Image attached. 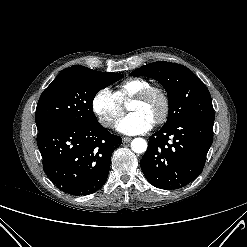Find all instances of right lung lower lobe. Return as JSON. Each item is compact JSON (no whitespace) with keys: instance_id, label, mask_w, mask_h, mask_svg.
<instances>
[{"instance_id":"right-lung-lower-lobe-1","label":"right lung lower lobe","mask_w":247,"mask_h":247,"mask_svg":"<svg viewBox=\"0 0 247 247\" xmlns=\"http://www.w3.org/2000/svg\"><path fill=\"white\" fill-rule=\"evenodd\" d=\"M38 131L43 169L60 190L80 196L103 186L121 137L110 134L98 122H62Z\"/></svg>"}]
</instances>
